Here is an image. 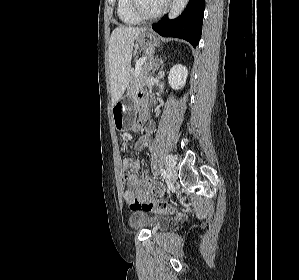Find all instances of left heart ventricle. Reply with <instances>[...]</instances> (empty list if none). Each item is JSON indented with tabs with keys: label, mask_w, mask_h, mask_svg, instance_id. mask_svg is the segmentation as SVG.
<instances>
[{
	"label": "left heart ventricle",
	"mask_w": 299,
	"mask_h": 280,
	"mask_svg": "<svg viewBox=\"0 0 299 280\" xmlns=\"http://www.w3.org/2000/svg\"><path fill=\"white\" fill-rule=\"evenodd\" d=\"M165 0H140L141 9L147 14L157 12Z\"/></svg>",
	"instance_id": "b2bd125f"
}]
</instances>
